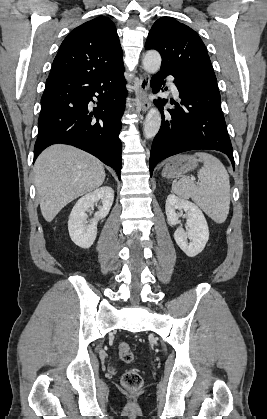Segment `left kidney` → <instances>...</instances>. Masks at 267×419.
<instances>
[{"mask_svg": "<svg viewBox=\"0 0 267 419\" xmlns=\"http://www.w3.org/2000/svg\"><path fill=\"white\" fill-rule=\"evenodd\" d=\"M176 210L186 212L188 231L185 232L182 228H177L174 232V239L187 256L194 257L204 249L209 239L207 221L197 205L170 194L166 200L165 211L167 221L171 225L179 223V214ZM188 239L190 242H188Z\"/></svg>", "mask_w": 267, "mask_h": 419, "instance_id": "left-kidney-1", "label": "left kidney"}]
</instances>
